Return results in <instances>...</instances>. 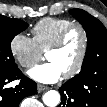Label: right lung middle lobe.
<instances>
[{
    "label": "right lung middle lobe",
    "instance_id": "right-lung-middle-lobe-1",
    "mask_svg": "<svg viewBox=\"0 0 107 107\" xmlns=\"http://www.w3.org/2000/svg\"><path fill=\"white\" fill-rule=\"evenodd\" d=\"M27 27L28 24L22 20L0 15V74L17 68L11 52V41Z\"/></svg>",
    "mask_w": 107,
    "mask_h": 107
}]
</instances>
